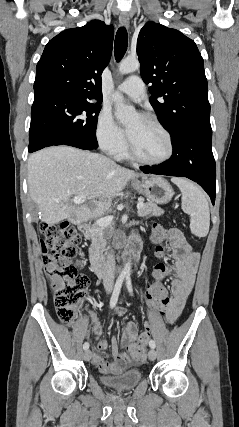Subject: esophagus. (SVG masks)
Listing matches in <instances>:
<instances>
[{"label": "esophagus", "instance_id": "34e87169", "mask_svg": "<svg viewBox=\"0 0 239 427\" xmlns=\"http://www.w3.org/2000/svg\"><path fill=\"white\" fill-rule=\"evenodd\" d=\"M119 22L122 26L128 28L130 24V19L127 13H121L119 16Z\"/></svg>", "mask_w": 239, "mask_h": 427}]
</instances>
